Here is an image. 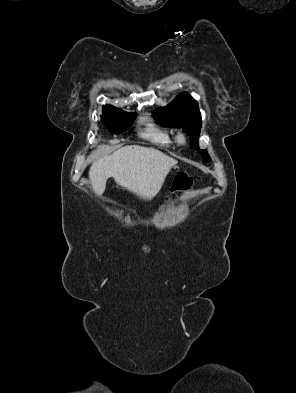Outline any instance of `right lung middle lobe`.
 Returning <instances> with one entry per match:
<instances>
[{
    "label": "right lung middle lobe",
    "mask_w": 296,
    "mask_h": 393,
    "mask_svg": "<svg viewBox=\"0 0 296 393\" xmlns=\"http://www.w3.org/2000/svg\"><path fill=\"white\" fill-rule=\"evenodd\" d=\"M102 112L101 121L113 134H120L127 130L136 118V113H127L111 105L104 106Z\"/></svg>",
    "instance_id": "right-lung-middle-lobe-1"
}]
</instances>
